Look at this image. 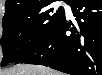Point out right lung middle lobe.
Returning <instances> with one entry per match:
<instances>
[{
  "instance_id": "right-lung-middle-lobe-1",
  "label": "right lung middle lobe",
  "mask_w": 102,
  "mask_h": 75,
  "mask_svg": "<svg viewBox=\"0 0 102 75\" xmlns=\"http://www.w3.org/2000/svg\"><path fill=\"white\" fill-rule=\"evenodd\" d=\"M53 2L4 15L1 66L16 62L29 54L64 19V8L54 9Z\"/></svg>"
}]
</instances>
